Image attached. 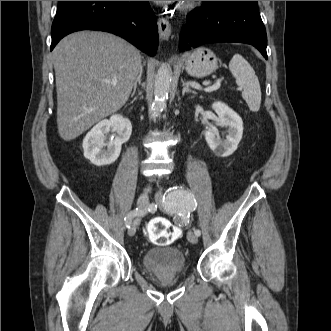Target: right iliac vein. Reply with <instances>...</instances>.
Returning a JSON list of instances; mask_svg holds the SVG:
<instances>
[{
  "instance_id": "obj_1",
  "label": "right iliac vein",
  "mask_w": 331,
  "mask_h": 331,
  "mask_svg": "<svg viewBox=\"0 0 331 331\" xmlns=\"http://www.w3.org/2000/svg\"><path fill=\"white\" fill-rule=\"evenodd\" d=\"M148 203H149L148 195L146 192H144L138 198L137 207L141 212H144V210H146L148 206ZM142 214L143 213H140L138 217L133 221V223H131L130 228L128 229V234L130 236L135 235Z\"/></svg>"
}]
</instances>
